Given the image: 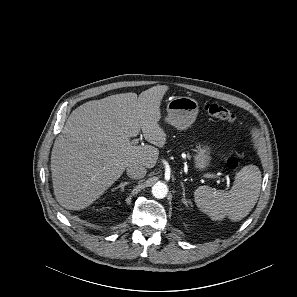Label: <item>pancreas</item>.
Here are the masks:
<instances>
[{
  "label": "pancreas",
  "mask_w": 297,
  "mask_h": 297,
  "mask_svg": "<svg viewBox=\"0 0 297 297\" xmlns=\"http://www.w3.org/2000/svg\"><path fill=\"white\" fill-rule=\"evenodd\" d=\"M190 157H191V156H190L189 154H187V158L190 159Z\"/></svg>",
  "instance_id": "pancreas-1"
}]
</instances>
